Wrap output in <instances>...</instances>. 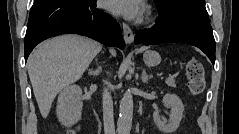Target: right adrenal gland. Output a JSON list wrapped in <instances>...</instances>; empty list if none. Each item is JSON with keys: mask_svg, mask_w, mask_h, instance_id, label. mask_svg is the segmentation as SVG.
<instances>
[{"mask_svg": "<svg viewBox=\"0 0 239 134\" xmlns=\"http://www.w3.org/2000/svg\"><path fill=\"white\" fill-rule=\"evenodd\" d=\"M97 61V59H96ZM102 68L98 66L96 70H89V75L91 76H98L101 73Z\"/></svg>", "mask_w": 239, "mask_h": 134, "instance_id": "1", "label": "right adrenal gland"}]
</instances>
